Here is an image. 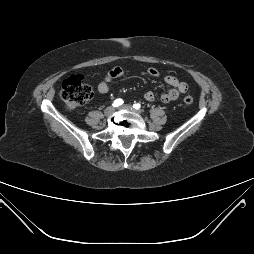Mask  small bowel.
<instances>
[{
  "mask_svg": "<svg viewBox=\"0 0 254 254\" xmlns=\"http://www.w3.org/2000/svg\"><path fill=\"white\" fill-rule=\"evenodd\" d=\"M123 73L124 72L120 67L112 68L106 74V76L98 83V86H97L98 91L101 94H106L109 91L110 84L114 80L122 77ZM147 73L149 76L154 77V78H157L160 75L158 69L153 68V67L149 68ZM164 80H165V83L171 87V89L168 92L163 93L160 96L161 102H163L165 104H169V103L175 101L181 93H185L188 90V84L175 76L168 75L164 78ZM155 97L156 96H155L154 92H152V91H147L144 94L145 100H147L149 102L154 101Z\"/></svg>",
  "mask_w": 254,
  "mask_h": 254,
  "instance_id": "1",
  "label": "small bowel"
}]
</instances>
